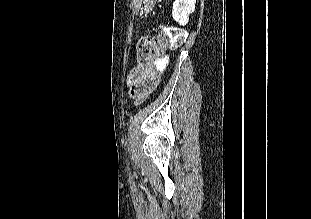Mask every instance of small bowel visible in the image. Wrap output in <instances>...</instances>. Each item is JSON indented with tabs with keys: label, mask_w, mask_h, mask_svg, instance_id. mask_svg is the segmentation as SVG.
Wrapping results in <instances>:
<instances>
[{
	"label": "small bowel",
	"mask_w": 311,
	"mask_h": 219,
	"mask_svg": "<svg viewBox=\"0 0 311 219\" xmlns=\"http://www.w3.org/2000/svg\"><path fill=\"white\" fill-rule=\"evenodd\" d=\"M159 77L150 75L147 70L134 68L128 76L129 95L140 102L146 99L159 85Z\"/></svg>",
	"instance_id": "c3829d8e"
}]
</instances>
